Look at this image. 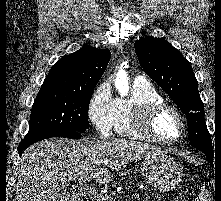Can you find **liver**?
Returning <instances> with one entry per match:
<instances>
[{
    "label": "liver",
    "instance_id": "liver-1",
    "mask_svg": "<svg viewBox=\"0 0 221 201\" xmlns=\"http://www.w3.org/2000/svg\"><path fill=\"white\" fill-rule=\"evenodd\" d=\"M159 151L125 139L43 140L22 154L15 201H70L71 181L95 178L107 184L113 180L110 170Z\"/></svg>",
    "mask_w": 221,
    "mask_h": 201
}]
</instances>
